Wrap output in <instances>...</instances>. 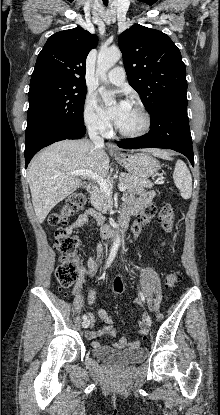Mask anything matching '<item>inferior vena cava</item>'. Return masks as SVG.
<instances>
[{
  "instance_id": "inferior-vena-cava-1",
  "label": "inferior vena cava",
  "mask_w": 220,
  "mask_h": 415,
  "mask_svg": "<svg viewBox=\"0 0 220 415\" xmlns=\"http://www.w3.org/2000/svg\"><path fill=\"white\" fill-rule=\"evenodd\" d=\"M88 134L90 137V140L94 144L96 148H102L104 146V139L98 135L97 126L96 125H90L88 127Z\"/></svg>"
}]
</instances>
